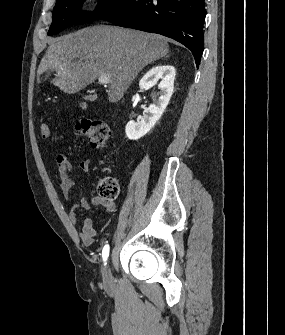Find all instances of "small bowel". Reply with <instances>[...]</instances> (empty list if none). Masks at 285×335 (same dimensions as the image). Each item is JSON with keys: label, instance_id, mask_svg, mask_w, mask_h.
Masks as SVG:
<instances>
[{"label": "small bowel", "instance_id": "obj_1", "mask_svg": "<svg viewBox=\"0 0 285 335\" xmlns=\"http://www.w3.org/2000/svg\"><path fill=\"white\" fill-rule=\"evenodd\" d=\"M56 164L59 170V189L65 198H68L71 189L74 186V180L71 177L72 164L68 157L64 154H58L56 157ZM91 162L89 159L82 160L79 163V168L84 172L88 173L90 170ZM95 205H102L105 212L112 213L115 211V204L111 201H106L99 197L82 198L80 201L72 206L68 213L69 220L73 224L79 222L77 214L78 208L88 209ZM97 230L93 225L90 218L82 220L81 229L79 231V237L82 243L86 246H90L94 242V237L97 235Z\"/></svg>", "mask_w": 285, "mask_h": 335}]
</instances>
